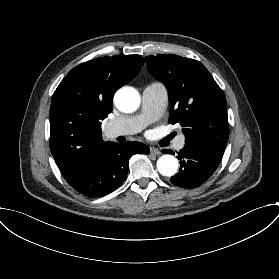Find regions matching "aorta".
<instances>
[{
    "instance_id": "obj_1",
    "label": "aorta",
    "mask_w": 279,
    "mask_h": 279,
    "mask_svg": "<svg viewBox=\"0 0 279 279\" xmlns=\"http://www.w3.org/2000/svg\"><path fill=\"white\" fill-rule=\"evenodd\" d=\"M114 104L122 112H134L140 105V95L132 87L120 88L115 93ZM156 166L161 175L171 177L177 173L178 160L173 155L165 154L157 160Z\"/></svg>"
}]
</instances>
